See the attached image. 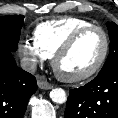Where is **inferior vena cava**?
Listing matches in <instances>:
<instances>
[{
	"label": "inferior vena cava",
	"instance_id": "inferior-vena-cava-1",
	"mask_svg": "<svg viewBox=\"0 0 118 118\" xmlns=\"http://www.w3.org/2000/svg\"><path fill=\"white\" fill-rule=\"evenodd\" d=\"M20 64L22 69L27 72L34 73L36 71L37 63L32 58H22Z\"/></svg>",
	"mask_w": 118,
	"mask_h": 118
}]
</instances>
